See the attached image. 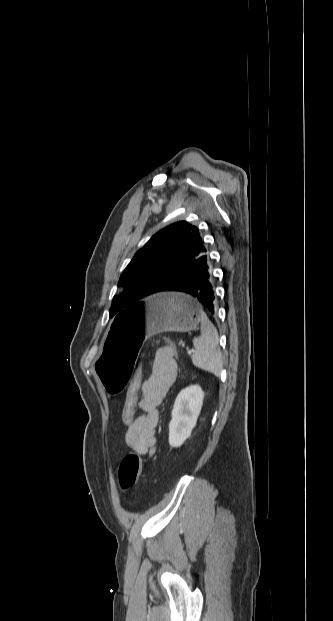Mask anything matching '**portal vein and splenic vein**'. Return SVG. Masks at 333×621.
Returning <instances> with one entry per match:
<instances>
[{
    "label": "portal vein and splenic vein",
    "mask_w": 333,
    "mask_h": 621,
    "mask_svg": "<svg viewBox=\"0 0 333 621\" xmlns=\"http://www.w3.org/2000/svg\"><path fill=\"white\" fill-rule=\"evenodd\" d=\"M192 352H193V350H188V354L189 355L192 354Z\"/></svg>",
    "instance_id": "portal-vein-and-splenic-vein-1"
}]
</instances>
